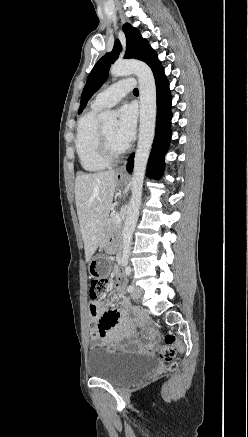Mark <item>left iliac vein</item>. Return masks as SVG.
Here are the masks:
<instances>
[{"mask_svg":"<svg viewBox=\"0 0 248 437\" xmlns=\"http://www.w3.org/2000/svg\"><path fill=\"white\" fill-rule=\"evenodd\" d=\"M143 295V290L138 286H133V291L131 292V296L133 299H139Z\"/></svg>","mask_w":248,"mask_h":437,"instance_id":"1","label":"left iliac vein"}]
</instances>
